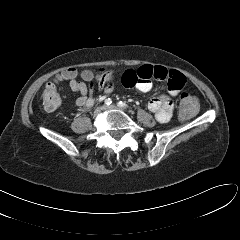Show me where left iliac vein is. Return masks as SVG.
Instances as JSON below:
<instances>
[{
  "mask_svg": "<svg viewBox=\"0 0 240 240\" xmlns=\"http://www.w3.org/2000/svg\"><path fill=\"white\" fill-rule=\"evenodd\" d=\"M104 110H121V108L115 105H110V106H104Z\"/></svg>",
  "mask_w": 240,
  "mask_h": 240,
  "instance_id": "left-iliac-vein-1",
  "label": "left iliac vein"
}]
</instances>
